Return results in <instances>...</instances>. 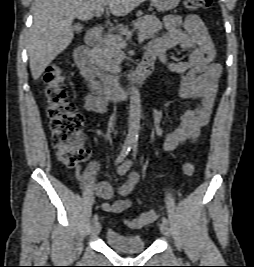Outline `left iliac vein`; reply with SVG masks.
Masks as SVG:
<instances>
[{
  "mask_svg": "<svg viewBox=\"0 0 254 267\" xmlns=\"http://www.w3.org/2000/svg\"><path fill=\"white\" fill-rule=\"evenodd\" d=\"M159 227H160V231L163 235H165L166 237L170 236V230H169V227L167 224L162 222L159 224Z\"/></svg>",
  "mask_w": 254,
  "mask_h": 267,
  "instance_id": "left-iliac-vein-1",
  "label": "left iliac vein"
}]
</instances>
